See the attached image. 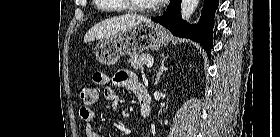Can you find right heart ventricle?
Wrapping results in <instances>:
<instances>
[{"label":"right heart ventricle","mask_w":280,"mask_h":137,"mask_svg":"<svg viewBox=\"0 0 280 137\" xmlns=\"http://www.w3.org/2000/svg\"><path fill=\"white\" fill-rule=\"evenodd\" d=\"M108 0H96V2H107ZM121 11H128V9L125 7V6H123V9H121Z\"/></svg>","instance_id":"e07e8e85"}]
</instances>
